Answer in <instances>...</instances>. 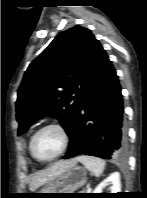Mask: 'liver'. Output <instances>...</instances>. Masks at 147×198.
<instances>
[{"mask_svg":"<svg viewBox=\"0 0 147 198\" xmlns=\"http://www.w3.org/2000/svg\"><path fill=\"white\" fill-rule=\"evenodd\" d=\"M77 164V159H70L66 161H58L50 166L48 169L39 171L35 173L30 182V190L34 191L38 187L52 181L67 169L75 166Z\"/></svg>","mask_w":147,"mask_h":198,"instance_id":"obj_1","label":"liver"}]
</instances>
